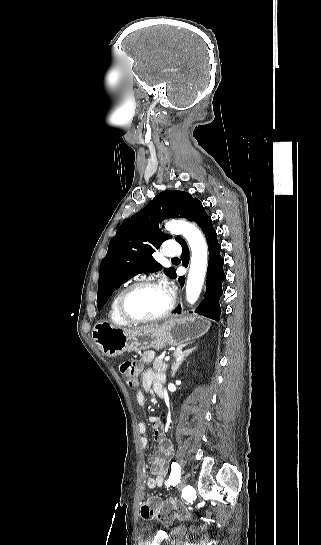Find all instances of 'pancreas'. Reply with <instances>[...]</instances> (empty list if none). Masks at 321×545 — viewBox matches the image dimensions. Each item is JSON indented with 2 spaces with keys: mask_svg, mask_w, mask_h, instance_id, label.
Here are the masks:
<instances>
[{
  "mask_svg": "<svg viewBox=\"0 0 321 545\" xmlns=\"http://www.w3.org/2000/svg\"><path fill=\"white\" fill-rule=\"evenodd\" d=\"M167 369H168V365L167 363H164V361H154L153 371H156V373H165Z\"/></svg>",
  "mask_w": 321,
  "mask_h": 545,
  "instance_id": "cf45deb5",
  "label": "pancreas"
}]
</instances>
